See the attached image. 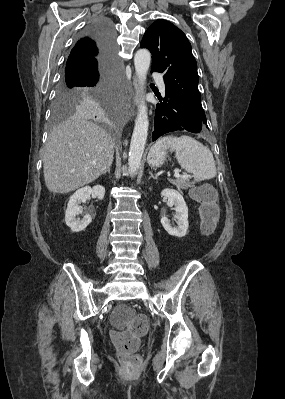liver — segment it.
<instances>
[{
    "mask_svg": "<svg viewBox=\"0 0 285 399\" xmlns=\"http://www.w3.org/2000/svg\"><path fill=\"white\" fill-rule=\"evenodd\" d=\"M113 155L111 136L77 113L49 134L43 157L46 187L64 194L89 184L111 166Z\"/></svg>",
    "mask_w": 285,
    "mask_h": 399,
    "instance_id": "obj_1",
    "label": "liver"
}]
</instances>
